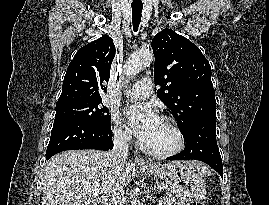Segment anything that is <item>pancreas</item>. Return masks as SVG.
<instances>
[{
  "label": "pancreas",
  "instance_id": "obj_1",
  "mask_svg": "<svg viewBox=\"0 0 269 205\" xmlns=\"http://www.w3.org/2000/svg\"><path fill=\"white\" fill-rule=\"evenodd\" d=\"M158 205H180V204L176 200L166 197L160 200Z\"/></svg>",
  "mask_w": 269,
  "mask_h": 205
}]
</instances>
